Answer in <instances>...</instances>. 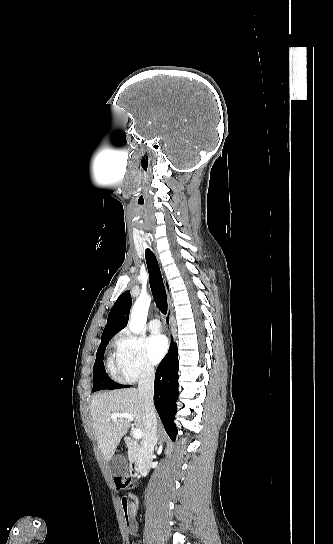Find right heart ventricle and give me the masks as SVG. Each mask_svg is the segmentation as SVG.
Here are the masks:
<instances>
[{"instance_id":"right-heart-ventricle-1","label":"right heart ventricle","mask_w":333,"mask_h":544,"mask_svg":"<svg viewBox=\"0 0 333 544\" xmlns=\"http://www.w3.org/2000/svg\"><path fill=\"white\" fill-rule=\"evenodd\" d=\"M108 368H109V370H110V372L112 374H114V375L118 374L116 364H114V362L111 359H109V361H108Z\"/></svg>"}]
</instances>
